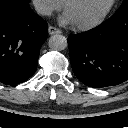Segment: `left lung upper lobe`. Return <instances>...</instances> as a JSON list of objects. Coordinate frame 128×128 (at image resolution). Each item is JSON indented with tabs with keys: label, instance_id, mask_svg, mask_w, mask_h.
I'll list each match as a JSON object with an SVG mask.
<instances>
[{
	"label": "left lung upper lobe",
	"instance_id": "5c2ea615",
	"mask_svg": "<svg viewBox=\"0 0 128 128\" xmlns=\"http://www.w3.org/2000/svg\"><path fill=\"white\" fill-rule=\"evenodd\" d=\"M128 10V0H124L121 4L120 8L116 11L115 14L120 13L122 11Z\"/></svg>",
	"mask_w": 128,
	"mask_h": 128
}]
</instances>
